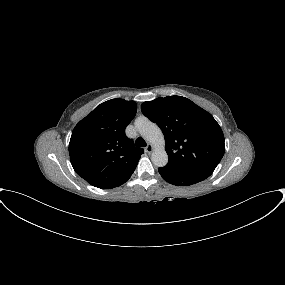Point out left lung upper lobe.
<instances>
[{
    "mask_svg": "<svg viewBox=\"0 0 285 285\" xmlns=\"http://www.w3.org/2000/svg\"><path fill=\"white\" fill-rule=\"evenodd\" d=\"M142 113L165 136L169 161L164 167L210 176L225 152L224 135L213 116L182 96H167L141 105Z\"/></svg>",
    "mask_w": 285,
    "mask_h": 285,
    "instance_id": "left-lung-upper-lobe-1",
    "label": "left lung upper lobe"
}]
</instances>
